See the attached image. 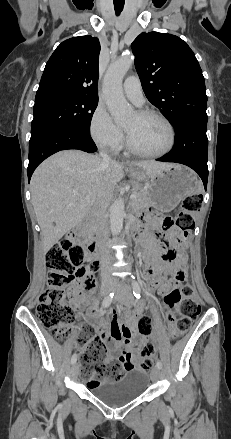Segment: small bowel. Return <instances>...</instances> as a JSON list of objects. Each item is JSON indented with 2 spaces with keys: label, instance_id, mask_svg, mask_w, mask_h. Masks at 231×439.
I'll use <instances>...</instances> for the list:
<instances>
[{
  "label": "small bowel",
  "instance_id": "1",
  "mask_svg": "<svg viewBox=\"0 0 231 439\" xmlns=\"http://www.w3.org/2000/svg\"><path fill=\"white\" fill-rule=\"evenodd\" d=\"M168 233L171 237H174V235L178 234V231L172 228ZM138 235L144 238L142 233ZM144 239L146 241L144 259L145 263L149 265V270H146V279L149 289H158L159 293L163 294L167 292L173 284L165 281L162 274H170L180 267L184 268V253L181 252L177 261L173 263L169 255H174V253L170 249V244L167 241H159L149 237ZM84 299V295L80 289L74 293L73 304L79 306ZM141 315L142 307L140 305L134 312L125 313V323L121 324L117 319L116 313L111 311L110 316L112 319L110 323L106 324L102 321L95 307H92L88 311L87 316L91 324L102 329L106 327V330L102 332V336L109 346L110 357L106 359L105 362H108L110 358H117L124 365L125 370L137 367L136 356L144 350V346L147 343L145 337L138 338L134 332L136 322ZM78 350L82 353L85 350V346L79 345ZM128 363H132L133 367L128 368Z\"/></svg>",
  "mask_w": 231,
  "mask_h": 439
}]
</instances>
